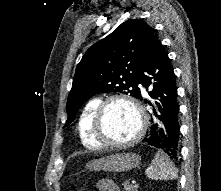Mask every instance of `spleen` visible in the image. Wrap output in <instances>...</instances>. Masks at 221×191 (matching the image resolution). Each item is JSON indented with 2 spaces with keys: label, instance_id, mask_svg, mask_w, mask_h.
<instances>
[{
  "label": "spleen",
  "instance_id": "1",
  "mask_svg": "<svg viewBox=\"0 0 221 191\" xmlns=\"http://www.w3.org/2000/svg\"><path fill=\"white\" fill-rule=\"evenodd\" d=\"M145 173L151 180H174L177 178V170L174 164L163 152L156 153Z\"/></svg>",
  "mask_w": 221,
  "mask_h": 191
}]
</instances>
